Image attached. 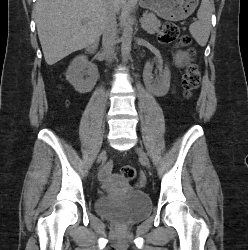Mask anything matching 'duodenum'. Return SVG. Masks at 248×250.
<instances>
[{
    "mask_svg": "<svg viewBox=\"0 0 248 250\" xmlns=\"http://www.w3.org/2000/svg\"><path fill=\"white\" fill-rule=\"evenodd\" d=\"M87 51L89 54H94L96 51V43L95 42L90 43L87 47Z\"/></svg>",
    "mask_w": 248,
    "mask_h": 250,
    "instance_id": "410a0bca",
    "label": "duodenum"
}]
</instances>
